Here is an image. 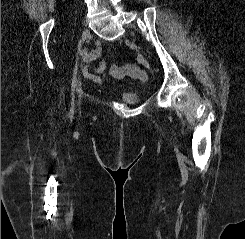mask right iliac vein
Here are the masks:
<instances>
[{
  "instance_id": "63e3f726",
  "label": "right iliac vein",
  "mask_w": 245,
  "mask_h": 239,
  "mask_svg": "<svg viewBox=\"0 0 245 239\" xmlns=\"http://www.w3.org/2000/svg\"><path fill=\"white\" fill-rule=\"evenodd\" d=\"M90 36V30L84 29L82 32V40L85 41ZM77 97H78V104L80 105L81 98H82V88H81V82L80 80L77 81Z\"/></svg>"
}]
</instances>
